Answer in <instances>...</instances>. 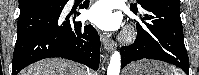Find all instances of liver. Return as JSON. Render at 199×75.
Here are the masks:
<instances>
[{"label": "liver", "mask_w": 199, "mask_h": 75, "mask_svg": "<svg viewBox=\"0 0 199 75\" xmlns=\"http://www.w3.org/2000/svg\"><path fill=\"white\" fill-rule=\"evenodd\" d=\"M19 75H89V71L78 63L61 58H50L30 65Z\"/></svg>", "instance_id": "6515ba94"}]
</instances>
